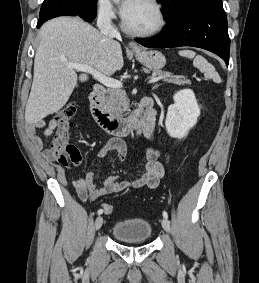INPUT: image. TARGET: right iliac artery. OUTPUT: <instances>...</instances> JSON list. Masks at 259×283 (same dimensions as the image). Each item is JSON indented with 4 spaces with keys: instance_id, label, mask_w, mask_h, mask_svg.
<instances>
[{
    "instance_id": "obj_1",
    "label": "right iliac artery",
    "mask_w": 259,
    "mask_h": 283,
    "mask_svg": "<svg viewBox=\"0 0 259 283\" xmlns=\"http://www.w3.org/2000/svg\"><path fill=\"white\" fill-rule=\"evenodd\" d=\"M103 213V210L102 209H99L98 211H97V214H102Z\"/></svg>"
}]
</instances>
